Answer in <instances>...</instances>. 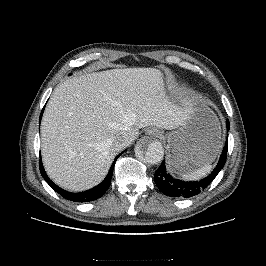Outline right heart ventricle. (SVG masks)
Listing matches in <instances>:
<instances>
[{
  "label": "right heart ventricle",
  "instance_id": "obj_1",
  "mask_svg": "<svg viewBox=\"0 0 266 266\" xmlns=\"http://www.w3.org/2000/svg\"><path fill=\"white\" fill-rule=\"evenodd\" d=\"M169 90H170L172 93L177 92V88H176L175 86H170V87H169Z\"/></svg>",
  "mask_w": 266,
  "mask_h": 266
}]
</instances>
